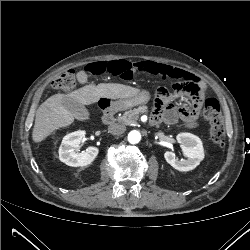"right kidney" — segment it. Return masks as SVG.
Segmentation results:
<instances>
[{
  "instance_id": "1",
  "label": "right kidney",
  "mask_w": 250,
  "mask_h": 250,
  "mask_svg": "<svg viewBox=\"0 0 250 250\" xmlns=\"http://www.w3.org/2000/svg\"><path fill=\"white\" fill-rule=\"evenodd\" d=\"M85 137V131H76L66 135L59 147V159L68 166L79 167L89 165L98 155V148L90 146L85 151L75 150Z\"/></svg>"
}]
</instances>
